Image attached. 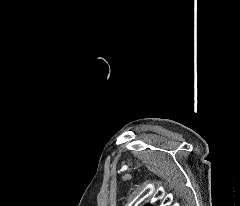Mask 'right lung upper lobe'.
<instances>
[{"label":"right lung upper lobe","mask_w":240,"mask_h":206,"mask_svg":"<svg viewBox=\"0 0 240 206\" xmlns=\"http://www.w3.org/2000/svg\"><path fill=\"white\" fill-rule=\"evenodd\" d=\"M146 206H152V205H150V204H147Z\"/></svg>","instance_id":"cb5924a9"}]
</instances>
